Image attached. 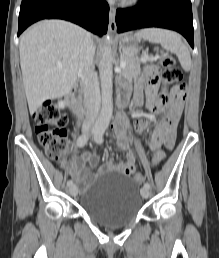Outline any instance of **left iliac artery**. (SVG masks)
Returning a JSON list of instances; mask_svg holds the SVG:
<instances>
[{"mask_svg": "<svg viewBox=\"0 0 219 258\" xmlns=\"http://www.w3.org/2000/svg\"><path fill=\"white\" fill-rule=\"evenodd\" d=\"M104 128H99L98 130H96V132L94 133V141L96 143L101 144L103 142V134H104ZM144 187L145 188H150V184L149 183H144Z\"/></svg>", "mask_w": 219, "mask_h": 258, "instance_id": "44dca946", "label": "left iliac artery"}]
</instances>
